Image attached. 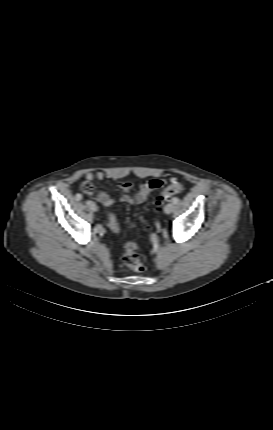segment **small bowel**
Here are the masks:
<instances>
[{"mask_svg":"<svg viewBox=\"0 0 273 430\" xmlns=\"http://www.w3.org/2000/svg\"><path fill=\"white\" fill-rule=\"evenodd\" d=\"M87 180H102L105 178V173L102 171L97 172H87L85 175ZM165 181L163 179H152L141 184L138 187V190L134 195H130L129 193L134 188V185L131 182H122L118 185V187L124 192V195L120 197V202L126 204H134L138 205L146 201L148 196L162 187ZM97 200L104 206L110 207L114 204L115 200L106 192L100 191L96 196Z\"/></svg>","mask_w":273,"mask_h":430,"instance_id":"small-bowel-1","label":"small bowel"}]
</instances>
